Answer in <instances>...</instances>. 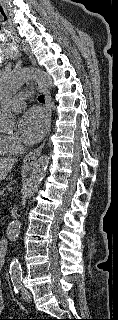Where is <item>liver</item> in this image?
Instances as JSON below:
<instances>
[{
    "mask_svg": "<svg viewBox=\"0 0 118 320\" xmlns=\"http://www.w3.org/2000/svg\"><path fill=\"white\" fill-rule=\"evenodd\" d=\"M16 161L17 160L13 158L0 157V181L6 178L7 173L10 171Z\"/></svg>",
    "mask_w": 118,
    "mask_h": 320,
    "instance_id": "1",
    "label": "liver"
}]
</instances>
